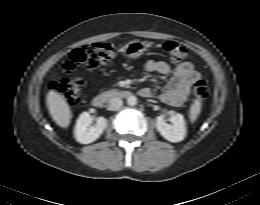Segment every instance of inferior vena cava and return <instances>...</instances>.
Instances as JSON below:
<instances>
[{
	"label": "inferior vena cava",
	"instance_id": "1",
	"mask_svg": "<svg viewBox=\"0 0 260 205\" xmlns=\"http://www.w3.org/2000/svg\"><path fill=\"white\" fill-rule=\"evenodd\" d=\"M123 105V101L120 98H111L109 101V109L112 111L118 110Z\"/></svg>",
	"mask_w": 260,
	"mask_h": 205
}]
</instances>
